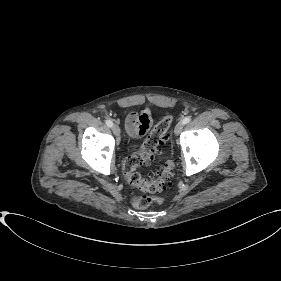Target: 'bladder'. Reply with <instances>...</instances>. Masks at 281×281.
Returning <instances> with one entry per match:
<instances>
[{
	"mask_svg": "<svg viewBox=\"0 0 281 281\" xmlns=\"http://www.w3.org/2000/svg\"><path fill=\"white\" fill-rule=\"evenodd\" d=\"M134 146H136V143H135V142H132V143H131V147H134Z\"/></svg>",
	"mask_w": 281,
	"mask_h": 281,
	"instance_id": "bladder-1",
	"label": "bladder"
}]
</instances>
